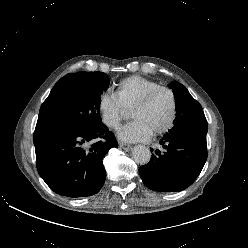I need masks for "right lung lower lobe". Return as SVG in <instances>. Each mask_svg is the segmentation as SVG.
Instances as JSON below:
<instances>
[{"label":"right lung lower lobe","instance_id":"98d812e1","mask_svg":"<svg viewBox=\"0 0 248 248\" xmlns=\"http://www.w3.org/2000/svg\"><path fill=\"white\" fill-rule=\"evenodd\" d=\"M33 142L39 175L55 193L86 197L99 192L106 171L102 164L116 138L103 125L98 128L36 126Z\"/></svg>","mask_w":248,"mask_h":248}]
</instances>
